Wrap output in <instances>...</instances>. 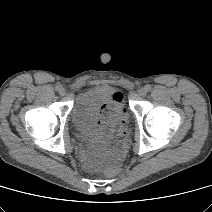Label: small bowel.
I'll return each instance as SVG.
<instances>
[{"label": "small bowel", "mask_w": 212, "mask_h": 212, "mask_svg": "<svg viewBox=\"0 0 212 212\" xmlns=\"http://www.w3.org/2000/svg\"><path fill=\"white\" fill-rule=\"evenodd\" d=\"M94 123L99 131H108L116 127V121L110 114L109 106L103 104L93 115Z\"/></svg>", "instance_id": "small-bowel-1"}]
</instances>
